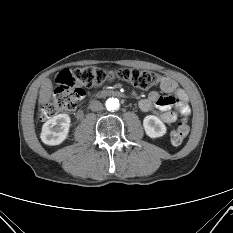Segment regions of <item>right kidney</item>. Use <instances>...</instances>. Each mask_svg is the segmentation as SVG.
I'll return each instance as SVG.
<instances>
[{"instance_id":"obj_1","label":"right kidney","mask_w":233,"mask_h":233,"mask_svg":"<svg viewBox=\"0 0 233 233\" xmlns=\"http://www.w3.org/2000/svg\"><path fill=\"white\" fill-rule=\"evenodd\" d=\"M70 117L67 114H59L46 121L42 126L41 140L47 145H59L68 135Z\"/></svg>"}]
</instances>
